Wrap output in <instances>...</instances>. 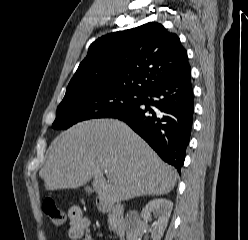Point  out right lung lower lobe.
I'll use <instances>...</instances> for the list:
<instances>
[{
  "label": "right lung lower lobe",
  "instance_id": "98d812e1",
  "mask_svg": "<svg viewBox=\"0 0 248 240\" xmlns=\"http://www.w3.org/2000/svg\"><path fill=\"white\" fill-rule=\"evenodd\" d=\"M193 113L194 95L188 71L151 87L138 104L110 117L125 121L165 162L180 172L190 140Z\"/></svg>",
  "mask_w": 248,
  "mask_h": 240
}]
</instances>
